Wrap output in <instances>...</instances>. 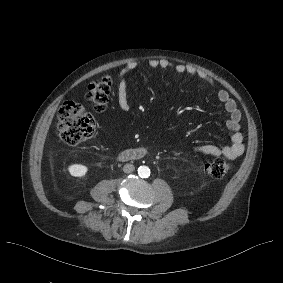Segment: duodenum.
<instances>
[{
    "label": "duodenum",
    "mask_w": 283,
    "mask_h": 283,
    "mask_svg": "<svg viewBox=\"0 0 283 283\" xmlns=\"http://www.w3.org/2000/svg\"><path fill=\"white\" fill-rule=\"evenodd\" d=\"M147 150L144 148H134L125 150L119 154V159L123 161L139 160L147 156Z\"/></svg>",
    "instance_id": "410a0bca"
}]
</instances>
